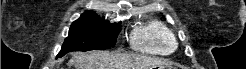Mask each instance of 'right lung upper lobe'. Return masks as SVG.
Returning <instances> with one entry per match:
<instances>
[{"mask_svg": "<svg viewBox=\"0 0 246 69\" xmlns=\"http://www.w3.org/2000/svg\"><path fill=\"white\" fill-rule=\"evenodd\" d=\"M104 21L102 20L95 12L86 11L84 12L81 17L75 22H85V21Z\"/></svg>", "mask_w": 246, "mask_h": 69, "instance_id": "right-lung-upper-lobe-1", "label": "right lung upper lobe"}]
</instances>
